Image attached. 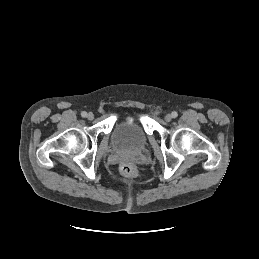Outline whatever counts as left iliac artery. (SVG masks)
Returning <instances> with one entry per match:
<instances>
[{
    "label": "left iliac artery",
    "mask_w": 259,
    "mask_h": 259,
    "mask_svg": "<svg viewBox=\"0 0 259 259\" xmlns=\"http://www.w3.org/2000/svg\"><path fill=\"white\" fill-rule=\"evenodd\" d=\"M177 116H178V113H177V112H175V111L172 112V117H173V118H176Z\"/></svg>",
    "instance_id": "44dca946"
}]
</instances>
